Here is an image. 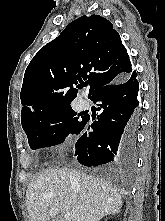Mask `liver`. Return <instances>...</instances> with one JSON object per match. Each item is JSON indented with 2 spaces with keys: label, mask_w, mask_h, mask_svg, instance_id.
Returning <instances> with one entry per match:
<instances>
[{
  "label": "liver",
  "mask_w": 165,
  "mask_h": 221,
  "mask_svg": "<svg viewBox=\"0 0 165 221\" xmlns=\"http://www.w3.org/2000/svg\"><path fill=\"white\" fill-rule=\"evenodd\" d=\"M30 221H48V208L61 216L52 221H99L122 207V198L109 182L73 169H47L28 185L25 198Z\"/></svg>",
  "instance_id": "1"
}]
</instances>
